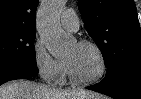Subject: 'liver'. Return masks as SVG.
<instances>
[{
  "instance_id": "liver-1",
  "label": "liver",
  "mask_w": 141,
  "mask_h": 99,
  "mask_svg": "<svg viewBox=\"0 0 141 99\" xmlns=\"http://www.w3.org/2000/svg\"><path fill=\"white\" fill-rule=\"evenodd\" d=\"M0 99H102L86 90H58L28 80H14L0 86Z\"/></svg>"
}]
</instances>
